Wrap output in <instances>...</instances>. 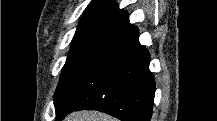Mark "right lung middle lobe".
I'll return each instance as SVG.
<instances>
[{"mask_svg": "<svg viewBox=\"0 0 217 121\" xmlns=\"http://www.w3.org/2000/svg\"><path fill=\"white\" fill-rule=\"evenodd\" d=\"M127 24L99 22L77 28L62 69L55 97L79 78L125 29Z\"/></svg>", "mask_w": 217, "mask_h": 121, "instance_id": "dd1d6c3e", "label": "right lung middle lobe"}]
</instances>
